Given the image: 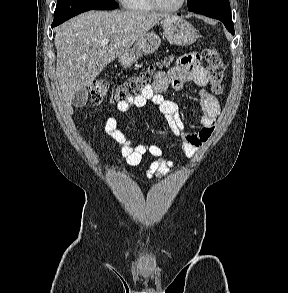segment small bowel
Listing matches in <instances>:
<instances>
[{"label":"small bowel","instance_id":"obj_1","mask_svg":"<svg viewBox=\"0 0 288 293\" xmlns=\"http://www.w3.org/2000/svg\"><path fill=\"white\" fill-rule=\"evenodd\" d=\"M186 82H193L199 87H204L209 82L208 73L200 63L198 53H190L181 57L167 72H156L153 84L146 87L139 95L118 102L116 108L119 112H126L131 107L143 108L148 102L158 106L172 134L180 139L182 152L191 157L211 137L216 119L220 114V105L213 95L206 92L202 93L199 102L201 110L200 129L189 131L177 103L164 97V92L170 86L180 91L184 88ZM105 132L117 144L121 155L129 165L140 164L146 154L153 156L154 160L146 173L149 180L154 176L166 175L169 169L173 167V162L164 158L163 150L157 144H134L118 128L116 117L107 119Z\"/></svg>","mask_w":288,"mask_h":293}]
</instances>
